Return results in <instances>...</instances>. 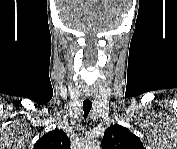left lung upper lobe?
I'll return each instance as SVG.
<instances>
[{
    "mask_svg": "<svg viewBox=\"0 0 177 149\" xmlns=\"http://www.w3.org/2000/svg\"><path fill=\"white\" fill-rule=\"evenodd\" d=\"M103 149H143L140 139L121 125H111L102 139Z\"/></svg>",
    "mask_w": 177,
    "mask_h": 149,
    "instance_id": "5c2ea615",
    "label": "left lung upper lobe"
}]
</instances>
